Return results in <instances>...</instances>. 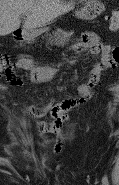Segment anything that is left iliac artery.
<instances>
[{
    "label": "left iliac artery",
    "instance_id": "obj_1",
    "mask_svg": "<svg viewBox=\"0 0 119 185\" xmlns=\"http://www.w3.org/2000/svg\"><path fill=\"white\" fill-rule=\"evenodd\" d=\"M102 183H103V185H109V182H108V179L106 176H103Z\"/></svg>",
    "mask_w": 119,
    "mask_h": 185
}]
</instances>
